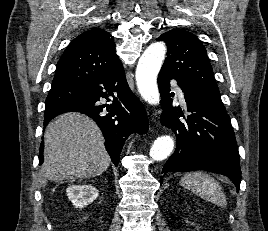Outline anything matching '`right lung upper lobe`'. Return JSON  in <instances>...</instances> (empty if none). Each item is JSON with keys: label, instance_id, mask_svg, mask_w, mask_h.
Listing matches in <instances>:
<instances>
[{"label": "right lung upper lobe", "instance_id": "cb5924a9", "mask_svg": "<svg viewBox=\"0 0 268 231\" xmlns=\"http://www.w3.org/2000/svg\"><path fill=\"white\" fill-rule=\"evenodd\" d=\"M120 63L111 34L100 28L89 30L77 36L64 51L56 66L52 87L84 88Z\"/></svg>", "mask_w": 268, "mask_h": 231}]
</instances>
